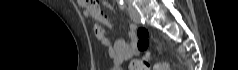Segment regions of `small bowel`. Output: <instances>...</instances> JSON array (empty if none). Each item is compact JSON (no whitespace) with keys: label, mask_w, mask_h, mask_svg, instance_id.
I'll list each match as a JSON object with an SVG mask.
<instances>
[{"label":"small bowel","mask_w":238,"mask_h":70,"mask_svg":"<svg viewBox=\"0 0 238 70\" xmlns=\"http://www.w3.org/2000/svg\"><path fill=\"white\" fill-rule=\"evenodd\" d=\"M77 3L83 10L84 16L92 18L97 23L94 29L96 37L101 44L108 47L109 55L113 59L115 67H118L123 61L138 55L140 50L137 47L136 28L134 25H129L127 28V33L131 39L130 43L124 40H118L112 45L103 30V27L111 28V23L107 16L101 11L100 4L87 0H78Z\"/></svg>","instance_id":"obj_1"}]
</instances>
